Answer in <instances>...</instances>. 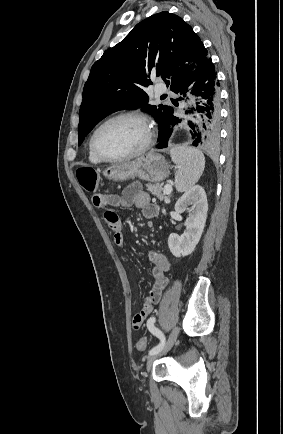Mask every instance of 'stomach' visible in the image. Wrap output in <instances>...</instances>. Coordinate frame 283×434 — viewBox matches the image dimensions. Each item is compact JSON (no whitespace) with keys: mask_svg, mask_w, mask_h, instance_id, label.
<instances>
[{"mask_svg":"<svg viewBox=\"0 0 283 434\" xmlns=\"http://www.w3.org/2000/svg\"><path fill=\"white\" fill-rule=\"evenodd\" d=\"M169 173V166L165 158L158 153L150 152L133 161L109 166L104 170L103 175L112 181H125L138 177L159 183L166 179Z\"/></svg>","mask_w":283,"mask_h":434,"instance_id":"stomach-1","label":"stomach"}]
</instances>
